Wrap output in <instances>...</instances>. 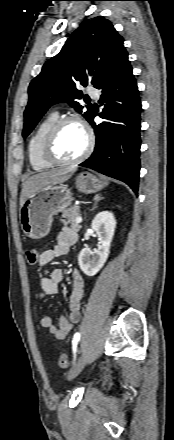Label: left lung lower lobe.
<instances>
[{
  "mask_svg": "<svg viewBox=\"0 0 174 440\" xmlns=\"http://www.w3.org/2000/svg\"><path fill=\"white\" fill-rule=\"evenodd\" d=\"M101 90L99 103L104 106L99 116L101 124L94 122L93 109L88 122L96 134L93 154L80 166L128 184L136 193L140 173L141 101L132 67L125 48L112 61L96 87Z\"/></svg>",
  "mask_w": 174,
  "mask_h": 440,
  "instance_id": "1",
  "label": "left lung lower lobe"
}]
</instances>
